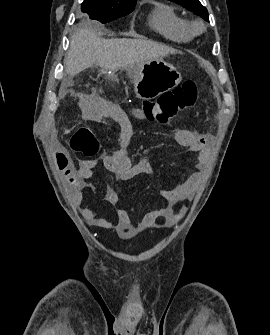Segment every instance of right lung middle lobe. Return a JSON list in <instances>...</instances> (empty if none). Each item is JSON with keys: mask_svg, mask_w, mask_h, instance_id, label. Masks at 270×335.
<instances>
[{"mask_svg": "<svg viewBox=\"0 0 270 335\" xmlns=\"http://www.w3.org/2000/svg\"><path fill=\"white\" fill-rule=\"evenodd\" d=\"M135 4L136 3L102 6L95 0H84L81 5V11L86 14L87 19L107 23L131 13Z\"/></svg>", "mask_w": 270, "mask_h": 335, "instance_id": "1", "label": "right lung middle lobe"}]
</instances>
